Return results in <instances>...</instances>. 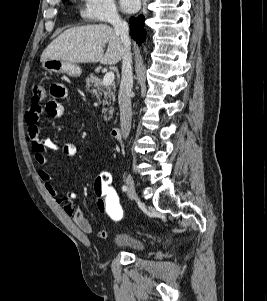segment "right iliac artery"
Instances as JSON below:
<instances>
[{"instance_id":"82829eb1","label":"right iliac artery","mask_w":267,"mask_h":301,"mask_svg":"<svg viewBox=\"0 0 267 301\" xmlns=\"http://www.w3.org/2000/svg\"><path fill=\"white\" fill-rule=\"evenodd\" d=\"M122 190L125 192L127 190V187L125 185L122 186Z\"/></svg>"}]
</instances>
